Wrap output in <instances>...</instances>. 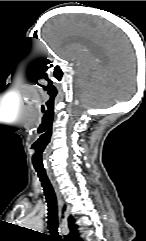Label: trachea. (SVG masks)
<instances>
[{
  "label": "trachea",
  "mask_w": 146,
  "mask_h": 241,
  "mask_svg": "<svg viewBox=\"0 0 146 241\" xmlns=\"http://www.w3.org/2000/svg\"><path fill=\"white\" fill-rule=\"evenodd\" d=\"M41 184L44 189L47 205H48V229L51 233L50 239L52 241H63L58 234V210H57V198L55 191L48 179L46 171L44 169L35 168Z\"/></svg>",
  "instance_id": "obj_1"
}]
</instances>
